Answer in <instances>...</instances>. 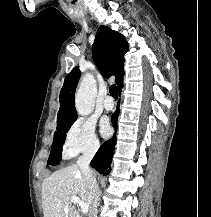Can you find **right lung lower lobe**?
<instances>
[{"label": "right lung lower lobe", "instance_id": "right-lung-lower-lobe-1", "mask_svg": "<svg viewBox=\"0 0 211 217\" xmlns=\"http://www.w3.org/2000/svg\"><path fill=\"white\" fill-rule=\"evenodd\" d=\"M121 88H119V93L121 92ZM119 115V109H117L112 117V124L114 128H116L117 125V118ZM116 144V139L115 135L108 141H106L98 150L94 158L92 159L90 165L93 167L95 170L100 172L103 175H108L111 171L110 169V164L112 162V155H113V150L114 146Z\"/></svg>", "mask_w": 211, "mask_h": 217}]
</instances>
